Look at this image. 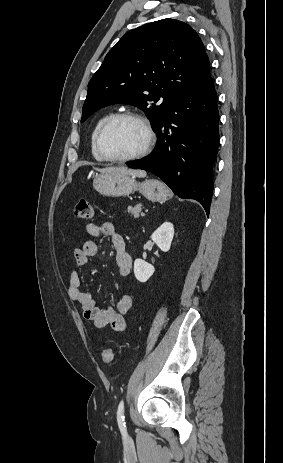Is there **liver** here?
<instances>
[{
    "label": "liver",
    "instance_id": "1",
    "mask_svg": "<svg viewBox=\"0 0 283 463\" xmlns=\"http://www.w3.org/2000/svg\"><path fill=\"white\" fill-rule=\"evenodd\" d=\"M100 172H113V173H121V174H127L133 177H146V172L143 170H133V169H128L126 167H106V168H96Z\"/></svg>",
    "mask_w": 283,
    "mask_h": 463
}]
</instances>
